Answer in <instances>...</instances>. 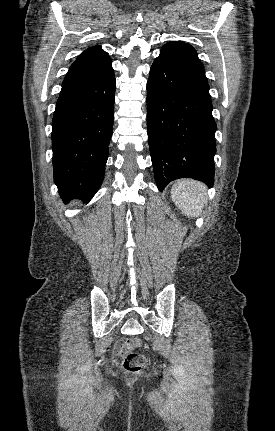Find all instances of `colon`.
I'll return each instance as SVG.
<instances>
[{
  "instance_id": "5ec220e1",
  "label": "colon",
  "mask_w": 275,
  "mask_h": 431,
  "mask_svg": "<svg viewBox=\"0 0 275 431\" xmlns=\"http://www.w3.org/2000/svg\"><path fill=\"white\" fill-rule=\"evenodd\" d=\"M140 345L141 341L138 338L128 339L124 342V346L128 354L124 360L123 366L128 372H140L147 365L146 357L143 354L134 351V349Z\"/></svg>"
}]
</instances>
